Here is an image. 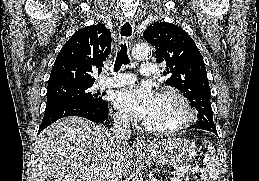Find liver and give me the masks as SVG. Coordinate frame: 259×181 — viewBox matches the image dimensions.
Instances as JSON below:
<instances>
[{"label": "liver", "instance_id": "obj_1", "mask_svg": "<svg viewBox=\"0 0 259 181\" xmlns=\"http://www.w3.org/2000/svg\"><path fill=\"white\" fill-rule=\"evenodd\" d=\"M113 134L79 117L58 120L38 136L35 181H107ZM128 147L121 153L123 173L130 165Z\"/></svg>", "mask_w": 259, "mask_h": 181}]
</instances>
